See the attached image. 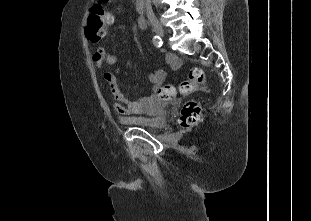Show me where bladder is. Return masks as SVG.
Returning <instances> with one entry per match:
<instances>
[{"label":"bladder","instance_id":"obj_1","mask_svg":"<svg viewBox=\"0 0 311 221\" xmlns=\"http://www.w3.org/2000/svg\"><path fill=\"white\" fill-rule=\"evenodd\" d=\"M169 121V114L166 112L163 102L153 105L152 108H146V113L133 118L134 124L152 129L163 128Z\"/></svg>","mask_w":311,"mask_h":221}]
</instances>
